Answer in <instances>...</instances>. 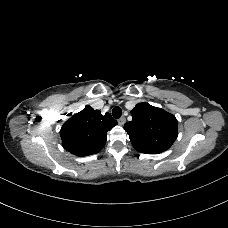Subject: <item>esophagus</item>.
<instances>
[{
	"label": "esophagus",
	"instance_id": "esophagus-1",
	"mask_svg": "<svg viewBox=\"0 0 228 228\" xmlns=\"http://www.w3.org/2000/svg\"><path fill=\"white\" fill-rule=\"evenodd\" d=\"M125 122H126V118H125V117H121V118L118 119V123H119L120 125H124Z\"/></svg>",
	"mask_w": 228,
	"mask_h": 228
}]
</instances>
